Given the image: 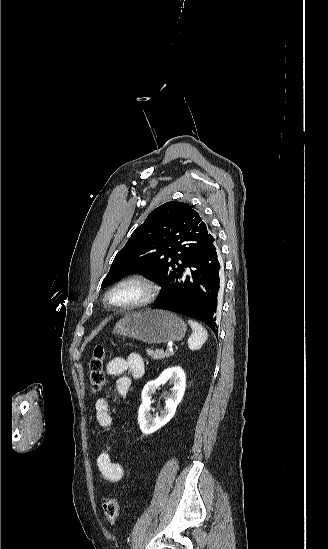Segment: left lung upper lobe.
<instances>
[{
	"label": "left lung upper lobe",
	"mask_w": 328,
	"mask_h": 549,
	"mask_svg": "<svg viewBox=\"0 0 328 549\" xmlns=\"http://www.w3.org/2000/svg\"><path fill=\"white\" fill-rule=\"evenodd\" d=\"M214 240L197 211L182 202H167L133 232L101 287L139 272L162 287L161 299L171 293L190 261Z\"/></svg>",
	"instance_id": "obj_1"
}]
</instances>
